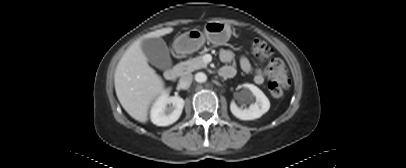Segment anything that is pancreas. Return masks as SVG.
<instances>
[{
  "label": "pancreas",
  "instance_id": "1",
  "mask_svg": "<svg viewBox=\"0 0 406 168\" xmlns=\"http://www.w3.org/2000/svg\"><path fill=\"white\" fill-rule=\"evenodd\" d=\"M206 64L204 63L201 56L189 59L188 61L181 62L178 64V68L181 70V73H189L195 70L205 68Z\"/></svg>",
  "mask_w": 406,
  "mask_h": 168
}]
</instances>
